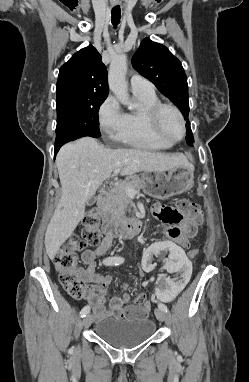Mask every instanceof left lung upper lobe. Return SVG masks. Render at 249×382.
Here are the masks:
<instances>
[{
  "label": "left lung upper lobe",
  "instance_id": "left-lung-upper-lobe-1",
  "mask_svg": "<svg viewBox=\"0 0 249 382\" xmlns=\"http://www.w3.org/2000/svg\"><path fill=\"white\" fill-rule=\"evenodd\" d=\"M132 65L142 76L169 98L187 120L189 114L188 84L180 61L162 44L144 39L132 58ZM186 142L193 146V135L187 120Z\"/></svg>",
  "mask_w": 249,
  "mask_h": 382
}]
</instances>
